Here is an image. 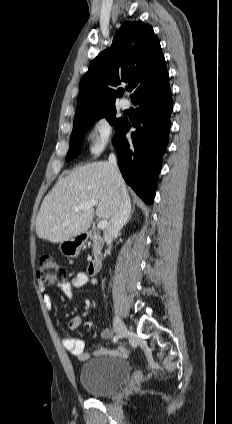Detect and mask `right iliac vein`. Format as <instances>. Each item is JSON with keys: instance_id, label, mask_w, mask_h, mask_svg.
<instances>
[{"instance_id": "1", "label": "right iliac vein", "mask_w": 232, "mask_h": 424, "mask_svg": "<svg viewBox=\"0 0 232 424\" xmlns=\"http://www.w3.org/2000/svg\"><path fill=\"white\" fill-rule=\"evenodd\" d=\"M114 328L119 338H124L128 334V329L119 316L114 317Z\"/></svg>"}]
</instances>
